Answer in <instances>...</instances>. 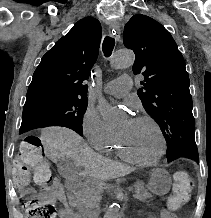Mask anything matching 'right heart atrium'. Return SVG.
<instances>
[{"label":"right heart atrium","instance_id":"1","mask_svg":"<svg viewBox=\"0 0 211 218\" xmlns=\"http://www.w3.org/2000/svg\"><path fill=\"white\" fill-rule=\"evenodd\" d=\"M82 131L89 143L96 149L106 145L115 138L103 122L99 113L91 108H87L82 117Z\"/></svg>","mask_w":211,"mask_h":218}]
</instances>
